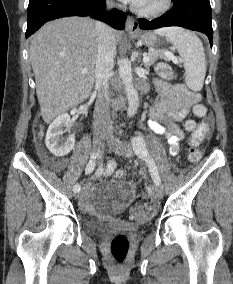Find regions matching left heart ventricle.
<instances>
[{"label": "left heart ventricle", "instance_id": "1", "mask_svg": "<svg viewBox=\"0 0 233 284\" xmlns=\"http://www.w3.org/2000/svg\"><path fill=\"white\" fill-rule=\"evenodd\" d=\"M162 0H145L144 3L140 6L142 8H152L161 3Z\"/></svg>", "mask_w": 233, "mask_h": 284}]
</instances>
